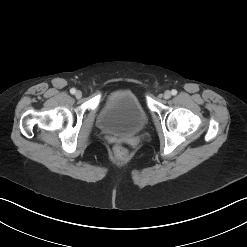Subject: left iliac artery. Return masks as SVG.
Segmentation results:
<instances>
[{
    "label": "left iliac artery",
    "mask_w": 247,
    "mask_h": 247,
    "mask_svg": "<svg viewBox=\"0 0 247 247\" xmlns=\"http://www.w3.org/2000/svg\"><path fill=\"white\" fill-rule=\"evenodd\" d=\"M171 93H172V95H176V94H177V90L173 89V90L171 91Z\"/></svg>",
    "instance_id": "44dca946"
}]
</instances>
